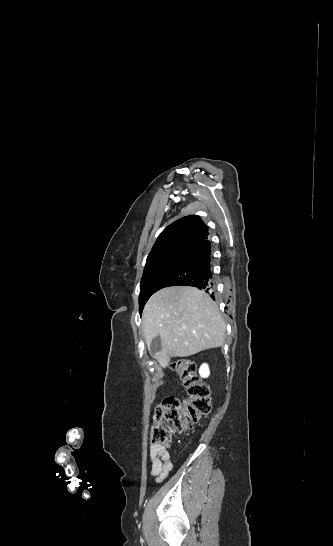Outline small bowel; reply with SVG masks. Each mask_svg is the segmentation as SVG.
I'll return each mask as SVG.
<instances>
[{
    "instance_id": "small-bowel-1",
    "label": "small bowel",
    "mask_w": 333,
    "mask_h": 546,
    "mask_svg": "<svg viewBox=\"0 0 333 546\" xmlns=\"http://www.w3.org/2000/svg\"><path fill=\"white\" fill-rule=\"evenodd\" d=\"M150 475L156 482L163 481L172 469L170 455L166 447L151 445L149 449Z\"/></svg>"
}]
</instances>
